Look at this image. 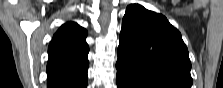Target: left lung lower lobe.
I'll return each mask as SVG.
<instances>
[{
	"label": "left lung lower lobe",
	"instance_id": "obj_1",
	"mask_svg": "<svg viewBox=\"0 0 223 88\" xmlns=\"http://www.w3.org/2000/svg\"><path fill=\"white\" fill-rule=\"evenodd\" d=\"M117 68V87L118 88H152L146 82L138 78L136 75L127 71L116 64Z\"/></svg>",
	"mask_w": 223,
	"mask_h": 88
}]
</instances>
